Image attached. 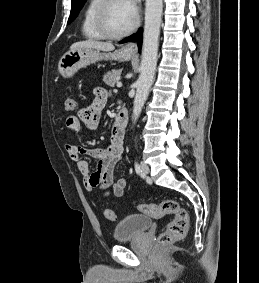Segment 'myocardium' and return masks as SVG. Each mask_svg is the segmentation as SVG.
I'll return each mask as SVG.
<instances>
[{
  "label": "myocardium",
  "instance_id": "obj_1",
  "mask_svg": "<svg viewBox=\"0 0 259 283\" xmlns=\"http://www.w3.org/2000/svg\"><path fill=\"white\" fill-rule=\"evenodd\" d=\"M113 1L114 0H101L96 10L95 24L97 30L104 38L116 40L130 35L137 28L139 24V17L138 14L135 12L133 23L130 25L129 28L119 33L112 32L107 25L106 16L108 8L110 7Z\"/></svg>",
  "mask_w": 259,
  "mask_h": 283
}]
</instances>
